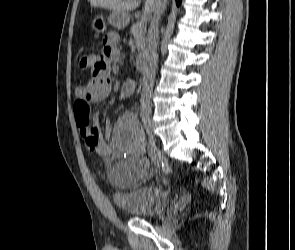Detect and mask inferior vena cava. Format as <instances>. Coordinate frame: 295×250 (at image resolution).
I'll list each match as a JSON object with an SVG mask.
<instances>
[{
	"label": "inferior vena cava",
	"instance_id": "inferior-vena-cava-1",
	"mask_svg": "<svg viewBox=\"0 0 295 250\" xmlns=\"http://www.w3.org/2000/svg\"><path fill=\"white\" fill-rule=\"evenodd\" d=\"M167 0H155L154 15L152 17L147 36V46L145 54V74L143 78V88L141 93V116L151 114V94L154 86V79L157 68V38L158 25L161 15L164 12Z\"/></svg>",
	"mask_w": 295,
	"mask_h": 250
}]
</instances>
